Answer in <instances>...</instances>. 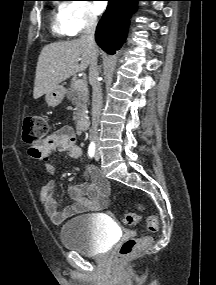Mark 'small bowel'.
I'll return each instance as SVG.
<instances>
[{
	"label": "small bowel",
	"instance_id": "obj_1",
	"mask_svg": "<svg viewBox=\"0 0 216 285\" xmlns=\"http://www.w3.org/2000/svg\"><path fill=\"white\" fill-rule=\"evenodd\" d=\"M53 151L59 154H67L75 159H81L83 152L77 145V135L70 126H64L48 135L40 146V153L36 158L45 161V170L49 174L55 172V166L51 155ZM84 177L88 181L70 184L68 193L73 204L63 210H59L54 197L55 184L47 183L40 190L39 196L45 212L54 224H61L66 219L75 215L99 211L108 205L110 187L107 180L100 174L98 169L88 165L84 169Z\"/></svg>",
	"mask_w": 216,
	"mask_h": 285
}]
</instances>
